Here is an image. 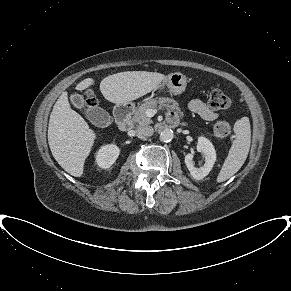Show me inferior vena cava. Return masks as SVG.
Listing matches in <instances>:
<instances>
[{
    "mask_svg": "<svg viewBox=\"0 0 291 291\" xmlns=\"http://www.w3.org/2000/svg\"><path fill=\"white\" fill-rule=\"evenodd\" d=\"M154 133V129L151 126H142L137 129V134L140 137H150Z\"/></svg>",
    "mask_w": 291,
    "mask_h": 291,
    "instance_id": "inferior-vena-cava-1",
    "label": "inferior vena cava"
}]
</instances>
